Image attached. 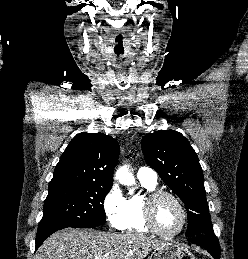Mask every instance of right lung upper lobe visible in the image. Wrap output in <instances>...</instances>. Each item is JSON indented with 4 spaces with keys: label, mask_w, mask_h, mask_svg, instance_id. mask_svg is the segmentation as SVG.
I'll list each match as a JSON object with an SVG mask.
<instances>
[{
    "label": "right lung upper lobe",
    "mask_w": 248,
    "mask_h": 259,
    "mask_svg": "<svg viewBox=\"0 0 248 259\" xmlns=\"http://www.w3.org/2000/svg\"><path fill=\"white\" fill-rule=\"evenodd\" d=\"M119 144L103 133H80L65 149L49 185L113 184Z\"/></svg>",
    "instance_id": "obj_1"
}]
</instances>
